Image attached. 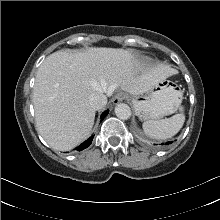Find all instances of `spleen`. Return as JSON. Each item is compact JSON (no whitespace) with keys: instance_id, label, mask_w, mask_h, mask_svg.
Returning <instances> with one entry per match:
<instances>
[{"instance_id":"obj_1","label":"spleen","mask_w":220,"mask_h":220,"mask_svg":"<svg viewBox=\"0 0 220 220\" xmlns=\"http://www.w3.org/2000/svg\"><path fill=\"white\" fill-rule=\"evenodd\" d=\"M180 113L170 118L161 120H147L143 123V130L146 135L165 140L176 135L185 122L184 107H180Z\"/></svg>"}]
</instances>
